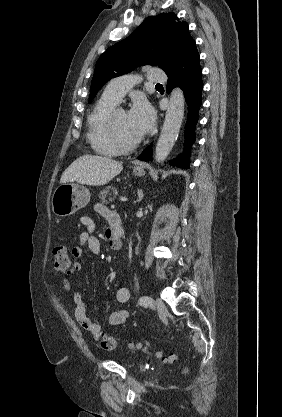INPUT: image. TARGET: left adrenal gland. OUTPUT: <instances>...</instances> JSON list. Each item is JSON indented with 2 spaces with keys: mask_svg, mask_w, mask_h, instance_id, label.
I'll return each instance as SVG.
<instances>
[{
  "mask_svg": "<svg viewBox=\"0 0 282 417\" xmlns=\"http://www.w3.org/2000/svg\"><path fill=\"white\" fill-rule=\"evenodd\" d=\"M137 194H138V198H137V200H134V202H140V200H142V198L144 196L142 188H138Z\"/></svg>",
  "mask_w": 282,
  "mask_h": 417,
  "instance_id": "obj_1",
  "label": "left adrenal gland"
}]
</instances>
